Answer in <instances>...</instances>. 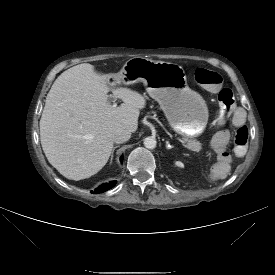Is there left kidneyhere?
<instances>
[{
  "label": "left kidney",
  "instance_id": "left-kidney-1",
  "mask_svg": "<svg viewBox=\"0 0 275 275\" xmlns=\"http://www.w3.org/2000/svg\"><path fill=\"white\" fill-rule=\"evenodd\" d=\"M175 165L178 166V167H183V164L180 161H176Z\"/></svg>",
  "mask_w": 275,
  "mask_h": 275
}]
</instances>
